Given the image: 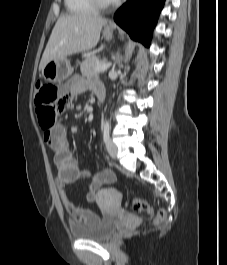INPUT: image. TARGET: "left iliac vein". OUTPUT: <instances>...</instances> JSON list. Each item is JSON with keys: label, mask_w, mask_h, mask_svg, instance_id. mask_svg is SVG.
I'll return each instance as SVG.
<instances>
[{"label": "left iliac vein", "mask_w": 227, "mask_h": 265, "mask_svg": "<svg viewBox=\"0 0 227 265\" xmlns=\"http://www.w3.org/2000/svg\"><path fill=\"white\" fill-rule=\"evenodd\" d=\"M106 149L110 157H112L113 159H116L118 149L112 140L108 139V141L106 142Z\"/></svg>", "instance_id": "left-iliac-vein-1"}]
</instances>
